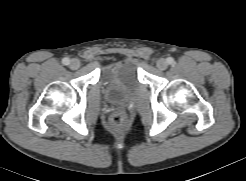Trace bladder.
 Segmentation results:
<instances>
[{"label":"bladder","instance_id":"bladder-1","mask_svg":"<svg viewBox=\"0 0 246 181\" xmlns=\"http://www.w3.org/2000/svg\"><path fill=\"white\" fill-rule=\"evenodd\" d=\"M105 83L111 100H120L139 84L137 65L130 60H123L109 65L105 71Z\"/></svg>","mask_w":246,"mask_h":181}]
</instances>
